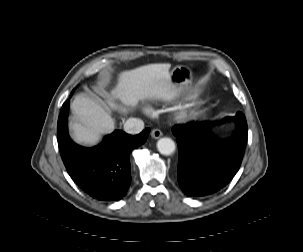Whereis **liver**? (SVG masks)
I'll return each instance as SVG.
<instances>
[{
	"label": "liver",
	"mask_w": 303,
	"mask_h": 252,
	"mask_svg": "<svg viewBox=\"0 0 303 252\" xmlns=\"http://www.w3.org/2000/svg\"><path fill=\"white\" fill-rule=\"evenodd\" d=\"M170 64L158 63L123 71L118 75V84L111 94L104 92L112 108L127 112L135 108L138 100L156 99L169 102L175 90L170 80ZM119 99L125 107L115 104ZM75 120L70 122L73 139L84 145L96 144L102 135L111 133L115 122L111 115L95 100L79 95L72 103Z\"/></svg>",
	"instance_id": "obj_1"
}]
</instances>
